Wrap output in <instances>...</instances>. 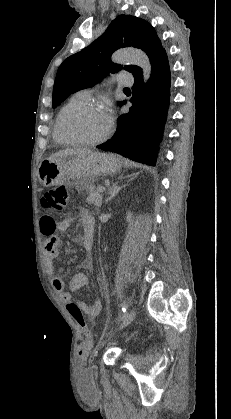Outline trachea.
<instances>
[{"mask_svg": "<svg viewBox=\"0 0 231 419\" xmlns=\"http://www.w3.org/2000/svg\"><path fill=\"white\" fill-rule=\"evenodd\" d=\"M124 90H129V88H124Z\"/></svg>", "mask_w": 231, "mask_h": 419, "instance_id": "obj_1", "label": "trachea"}]
</instances>
